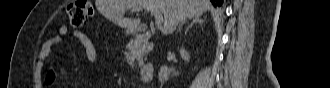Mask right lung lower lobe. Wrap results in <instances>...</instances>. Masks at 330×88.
I'll return each instance as SVG.
<instances>
[{"label":"right lung lower lobe","mask_w":330,"mask_h":88,"mask_svg":"<svg viewBox=\"0 0 330 88\" xmlns=\"http://www.w3.org/2000/svg\"><path fill=\"white\" fill-rule=\"evenodd\" d=\"M212 3L215 5V3L217 4V6H221L223 3V0H211Z\"/></svg>","instance_id":"98d812e1"}]
</instances>
